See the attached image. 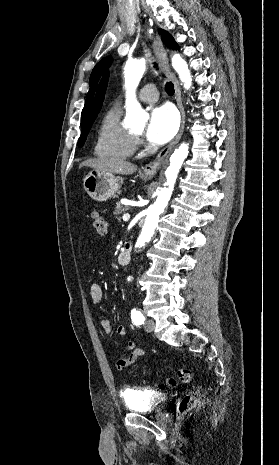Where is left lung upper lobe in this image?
<instances>
[{
    "mask_svg": "<svg viewBox=\"0 0 279 465\" xmlns=\"http://www.w3.org/2000/svg\"><path fill=\"white\" fill-rule=\"evenodd\" d=\"M159 33L161 34V37H162V40L164 42V44L168 47V48H172V49H179L177 43L174 41L173 37L167 33L166 31L162 30V29H159ZM111 63V57H106L104 58L103 60H101L93 69L92 73H91V77H90V89H89V92L87 94V97H86V102H85V106L82 110V115H81V124H83L87 114H88V110L90 108V105H91V101H92V98L94 96V93H95V89H96V86H97V83H98V80L102 74V72L104 71V69L109 66Z\"/></svg>",
    "mask_w": 279,
    "mask_h": 465,
    "instance_id": "left-lung-upper-lobe-1",
    "label": "left lung upper lobe"
}]
</instances>
